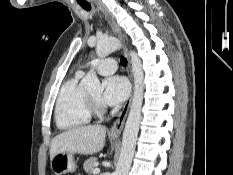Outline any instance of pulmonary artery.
Here are the masks:
<instances>
[{
    "label": "pulmonary artery",
    "mask_w": 233,
    "mask_h": 175,
    "mask_svg": "<svg viewBox=\"0 0 233 175\" xmlns=\"http://www.w3.org/2000/svg\"><path fill=\"white\" fill-rule=\"evenodd\" d=\"M91 65L101 75L112 74L117 69V62L111 58L93 61V62H91ZM79 73L83 74L82 71H80Z\"/></svg>",
    "instance_id": "e3ab8cb5"
}]
</instances>
